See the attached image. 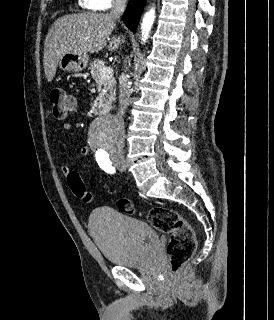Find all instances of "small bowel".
Here are the masks:
<instances>
[{"label":"small bowel","instance_id":"c3829d8e","mask_svg":"<svg viewBox=\"0 0 274 320\" xmlns=\"http://www.w3.org/2000/svg\"><path fill=\"white\" fill-rule=\"evenodd\" d=\"M62 129H63V131H70L71 129H72V125L70 124V123H68V122H66V123H64L63 125H62ZM90 153V148L89 147H83L81 150H80V154L82 155V156H86V155H88ZM61 171H62V173H64L66 176H67V174L70 172V168H69V166L68 165H66V164H63V165H61Z\"/></svg>","mask_w":274,"mask_h":320}]
</instances>
